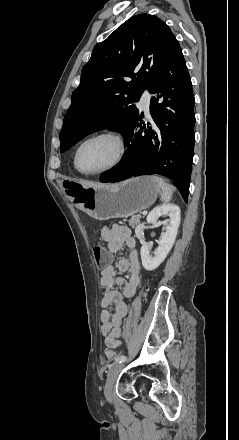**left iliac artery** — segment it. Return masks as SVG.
<instances>
[{
    "label": "left iliac artery",
    "mask_w": 239,
    "mask_h": 440,
    "mask_svg": "<svg viewBox=\"0 0 239 440\" xmlns=\"http://www.w3.org/2000/svg\"><path fill=\"white\" fill-rule=\"evenodd\" d=\"M125 361H126V356H124V355L118 356L115 359V362H119V363H122V362H125Z\"/></svg>",
    "instance_id": "left-iliac-artery-1"
}]
</instances>
